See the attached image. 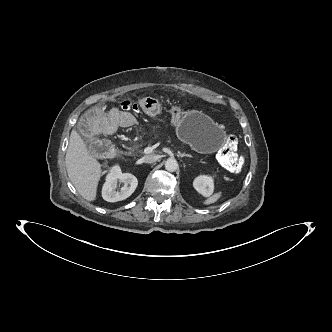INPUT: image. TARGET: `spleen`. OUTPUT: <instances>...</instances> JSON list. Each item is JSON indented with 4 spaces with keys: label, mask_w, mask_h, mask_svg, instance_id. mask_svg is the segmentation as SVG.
<instances>
[{
    "label": "spleen",
    "mask_w": 332,
    "mask_h": 332,
    "mask_svg": "<svg viewBox=\"0 0 332 332\" xmlns=\"http://www.w3.org/2000/svg\"><path fill=\"white\" fill-rule=\"evenodd\" d=\"M221 197H222V192H217V193L213 194L211 197H209L208 199H206V200L203 202V204H205V205L214 204V203L217 202Z\"/></svg>",
    "instance_id": "spleen-1"
}]
</instances>
